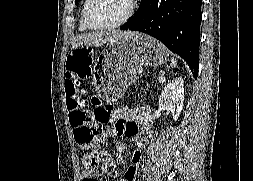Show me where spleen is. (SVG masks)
Segmentation results:
<instances>
[{
  "label": "spleen",
  "mask_w": 253,
  "mask_h": 181,
  "mask_svg": "<svg viewBox=\"0 0 253 181\" xmlns=\"http://www.w3.org/2000/svg\"><path fill=\"white\" fill-rule=\"evenodd\" d=\"M176 65H177V60L174 59V58H172V59H171L170 66H171V67H176Z\"/></svg>",
  "instance_id": "1"
}]
</instances>
